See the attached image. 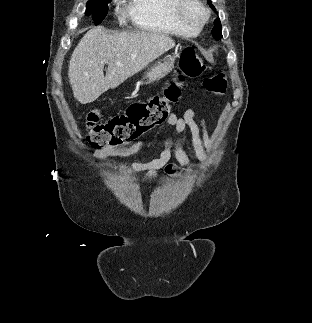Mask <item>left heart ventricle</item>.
<instances>
[{"mask_svg":"<svg viewBox=\"0 0 312 323\" xmlns=\"http://www.w3.org/2000/svg\"><path fill=\"white\" fill-rule=\"evenodd\" d=\"M186 12L189 18H201L203 13L202 7H187Z\"/></svg>","mask_w":312,"mask_h":323,"instance_id":"left-heart-ventricle-1","label":"left heart ventricle"}]
</instances>
